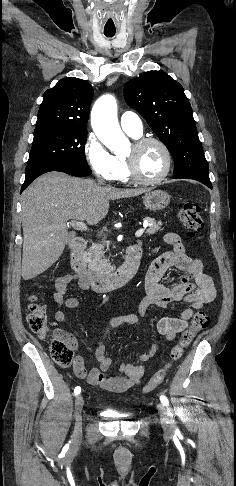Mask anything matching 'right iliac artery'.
<instances>
[{
	"mask_svg": "<svg viewBox=\"0 0 236 486\" xmlns=\"http://www.w3.org/2000/svg\"><path fill=\"white\" fill-rule=\"evenodd\" d=\"M80 392H81V388H80V387H76V388L74 389V394H75V395H78Z\"/></svg>",
	"mask_w": 236,
	"mask_h": 486,
	"instance_id": "right-iliac-artery-1",
	"label": "right iliac artery"
}]
</instances>
